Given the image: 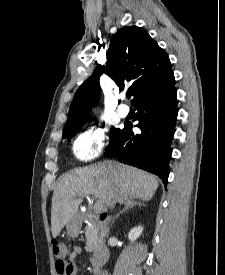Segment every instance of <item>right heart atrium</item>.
I'll return each mask as SVG.
<instances>
[{
  "label": "right heart atrium",
  "mask_w": 225,
  "mask_h": 275,
  "mask_svg": "<svg viewBox=\"0 0 225 275\" xmlns=\"http://www.w3.org/2000/svg\"><path fill=\"white\" fill-rule=\"evenodd\" d=\"M107 135L102 128L88 129L80 133L73 143V154L77 160L88 162L103 151Z\"/></svg>",
  "instance_id": "obj_1"
}]
</instances>
